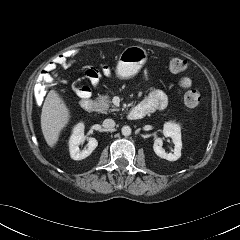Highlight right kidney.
I'll use <instances>...</instances> for the list:
<instances>
[{"mask_svg": "<svg viewBox=\"0 0 240 240\" xmlns=\"http://www.w3.org/2000/svg\"><path fill=\"white\" fill-rule=\"evenodd\" d=\"M85 140L88 141L87 147L80 150L79 145ZM98 146V141L95 138H86L84 135V124L82 122L78 123L74 129L69 140V150L70 156L74 160H82L88 157L93 150Z\"/></svg>", "mask_w": 240, "mask_h": 240, "instance_id": "ca27d5eb", "label": "right kidney"}]
</instances>
